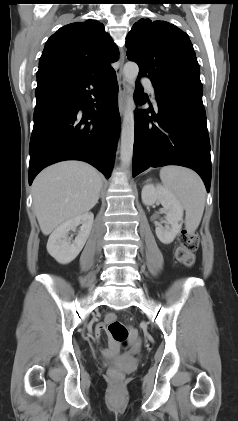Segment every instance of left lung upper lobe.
Wrapping results in <instances>:
<instances>
[{
	"label": "left lung upper lobe",
	"instance_id": "obj_1",
	"mask_svg": "<svg viewBox=\"0 0 238 421\" xmlns=\"http://www.w3.org/2000/svg\"><path fill=\"white\" fill-rule=\"evenodd\" d=\"M125 45L128 59L139 65V75H148L153 83L200 76L188 35L169 22L140 19Z\"/></svg>",
	"mask_w": 238,
	"mask_h": 421
}]
</instances>
